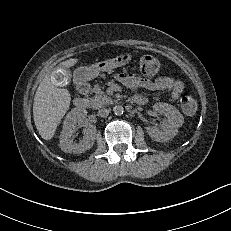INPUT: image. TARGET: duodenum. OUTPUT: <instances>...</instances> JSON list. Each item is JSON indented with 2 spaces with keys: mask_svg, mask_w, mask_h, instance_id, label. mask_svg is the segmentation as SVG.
<instances>
[{
  "mask_svg": "<svg viewBox=\"0 0 231 231\" xmlns=\"http://www.w3.org/2000/svg\"><path fill=\"white\" fill-rule=\"evenodd\" d=\"M90 90V85L88 82L84 81V80H79L77 82V94L74 98V105L77 108L80 109H84L88 107V98H87V94ZM133 101L137 104H145L146 103V98L143 96H138V97H134Z\"/></svg>",
  "mask_w": 231,
  "mask_h": 231,
  "instance_id": "duodenum-1",
  "label": "duodenum"
}]
</instances>
